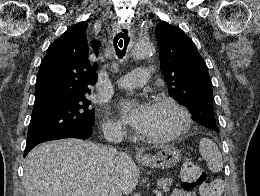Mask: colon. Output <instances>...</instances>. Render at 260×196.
I'll use <instances>...</instances> for the list:
<instances>
[{
	"label": "colon",
	"mask_w": 260,
	"mask_h": 196,
	"mask_svg": "<svg viewBox=\"0 0 260 196\" xmlns=\"http://www.w3.org/2000/svg\"><path fill=\"white\" fill-rule=\"evenodd\" d=\"M181 182L188 190L191 188L205 187L209 184L206 174L200 168V166L192 160H187L183 163L180 173ZM218 196L220 194L215 192H207Z\"/></svg>",
	"instance_id": "colon-1"
}]
</instances>
